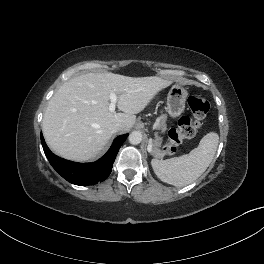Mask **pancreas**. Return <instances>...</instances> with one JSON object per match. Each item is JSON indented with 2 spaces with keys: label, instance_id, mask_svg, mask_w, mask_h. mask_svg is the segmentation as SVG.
I'll return each instance as SVG.
<instances>
[{
  "label": "pancreas",
  "instance_id": "cf45deb5",
  "mask_svg": "<svg viewBox=\"0 0 264 264\" xmlns=\"http://www.w3.org/2000/svg\"><path fill=\"white\" fill-rule=\"evenodd\" d=\"M166 120H167L166 114H162L159 118L158 128L161 129L162 131L166 129V124H165ZM161 144H162V138L159 136H156L154 140L152 153L157 157L164 156V153L160 150Z\"/></svg>",
  "mask_w": 264,
  "mask_h": 264
}]
</instances>
